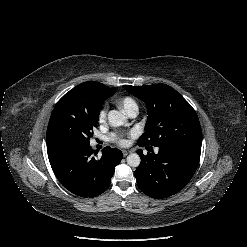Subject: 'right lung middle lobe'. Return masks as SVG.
I'll return each instance as SVG.
<instances>
[{
	"instance_id": "1",
	"label": "right lung middle lobe",
	"mask_w": 247,
	"mask_h": 247,
	"mask_svg": "<svg viewBox=\"0 0 247 247\" xmlns=\"http://www.w3.org/2000/svg\"><path fill=\"white\" fill-rule=\"evenodd\" d=\"M100 108L91 100L64 95L49 120L47 147L88 145L93 129L97 127Z\"/></svg>"
}]
</instances>
